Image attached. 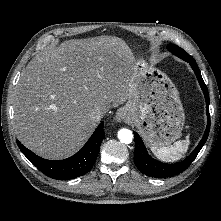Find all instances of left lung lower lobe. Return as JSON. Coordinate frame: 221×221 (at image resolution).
Returning <instances> with one entry per match:
<instances>
[{"instance_id":"obj_1","label":"left lung lower lobe","mask_w":221,"mask_h":221,"mask_svg":"<svg viewBox=\"0 0 221 221\" xmlns=\"http://www.w3.org/2000/svg\"><path fill=\"white\" fill-rule=\"evenodd\" d=\"M187 62L190 63L192 69L194 70L197 76V79L200 83V86L205 95L206 109H207V116H208V123H207L206 131L200 143L196 147V149L185 160L176 164H163L159 161L154 160L147 153L141 137L136 132H134V137H135L134 162L137 168L145 175L162 178V177H170V176L183 172L185 169L188 168V166L196 158L197 154L199 153V151L201 150V148L203 147V145L205 144L207 140L209 129H210L209 95H208L207 87L202 79V76L196 64V61L193 58H191V59H188Z\"/></svg>"}]
</instances>
